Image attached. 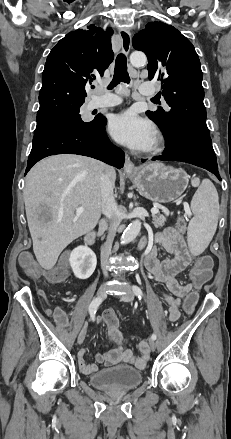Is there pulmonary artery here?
Instances as JSON below:
<instances>
[{"instance_id":"pulmonary-artery-1","label":"pulmonary artery","mask_w":231,"mask_h":439,"mask_svg":"<svg viewBox=\"0 0 231 439\" xmlns=\"http://www.w3.org/2000/svg\"><path fill=\"white\" fill-rule=\"evenodd\" d=\"M140 92L144 95H152V94H155L156 89L151 83L145 82L140 86ZM120 103H121V99L118 96L106 95L104 97H99V98L93 99L90 102L89 107L91 109L112 107V106H116Z\"/></svg>"}]
</instances>
